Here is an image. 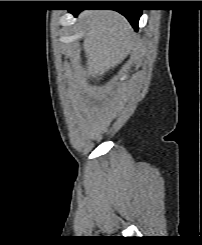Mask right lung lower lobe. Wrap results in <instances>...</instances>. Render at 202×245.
Instances as JSON below:
<instances>
[{
  "label": "right lung lower lobe",
  "instance_id": "98d812e1",
  "mask_svg": "<svg viewBox=\"0 0 202 245\" xmlns=\"http://www.w3.org/2000/svg\"><path fill=\"white\" fill-rule=\"evenodd\" d=\"M71 12H73L74 14L79 13L82 10H69ZM119 13H121L122 15H124L128 21L131 23V25L133 26L134 29H138V21L139 18L141 16V11L142 10H137V9H118L116 10Z\"/></svg>",
  "mask_w": 202,
  "mask_h": 245
}]
</instances>
